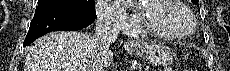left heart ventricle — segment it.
<instances>
[{
  "instance_id": "1",
  "label": "left heart ventricle",
  "mask_w": 230,
  "mask_h": 71,
  "mask_svg": "<svg viewBox=\"0 0 230 71\" xmlns=\"http://www.w3.org/2000/svg\"><path fill=\"white\" fill-rule=\"evenodd\" d=\"M147 19L159 29L172 33H185L191 27L187 13L174 4L172 0L143 2Z\"/></svg>"
}]
</instances>
